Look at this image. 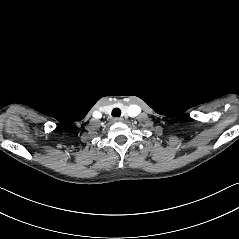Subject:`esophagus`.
Here are the masks:
<instances>
[{
    "label": "esophagus",
    "instance_id": "obj_1",
    "mask_svg": "<svg viewBox=\"0 0 239 239\" xmlns=\"http://www.w3.org/2000/svg\"><path fill=\"white\" fill-rule=\"evenodd\" d=\"M124 119L122 117H116L114 118L115 122H122Z\"/></svg>",
    "mask_w": 239,
    "mask_h": 239
}]
</instances>
